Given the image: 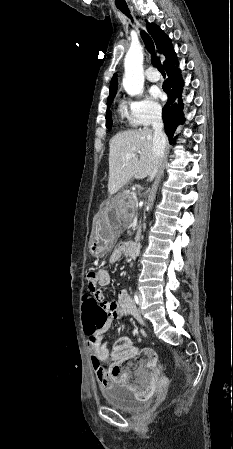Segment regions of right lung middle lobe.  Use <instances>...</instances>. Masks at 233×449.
Instances as JSON below:
<instances>
[{
	"instance_id": "obj_1",
	"label": "right lung middle lobe",
	"mask_w": 233,
	"mask_h": 449,
	"mask_svg": "<svg viewBox=\"0 0 233 449\" xmlns=\"http://www.w3.org/2000/svg\"><path fill=\"white\" fill-rule=\"evenodd\" d=\"M115 95L116 94L108 96V102H107L108 107H107V111H106V127L107 128H110L112 126V117H111V112H110L109 107H110Z\"/></svg>"
}]
</instances>
